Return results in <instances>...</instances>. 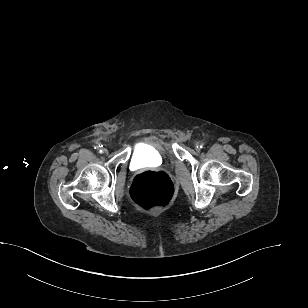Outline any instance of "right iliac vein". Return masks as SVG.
<instances>
[{"mask_svg":"<svg viewBox=\"0 0 308 308\" xmlns=\"http://www.w3.org/2000/svg\"><path fill=\"white\" fill-rule=\"evenodd\" d=\"M103 153L107 154L108 150L107 149H103Z\"/></svg>","mask_w":308,"mask_h":308,"instance_id":"right-iliac-vein-1","label":"right iliac vein"}]
</instances>
